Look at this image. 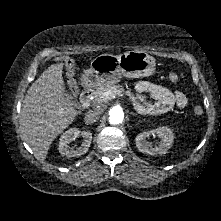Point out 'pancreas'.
<instances>
[{
    "label": "pancreas",
    "instance_id": "obj_1",
    "mask_svg": "<svg viewBox=\"0 0 221 221\" xmlns=\"http://www.w3.org/2000/svg\"><path fill=\"white\" fill-rule=\"evenodd\" d=\"M107 91H111L114 94L125 93L131 101L138 100L142 104H144L147 108L150 107V104L146 101L145 96H143V95H136L135 96L130 90H125L122 85L116 84V83H111V84H107V85L98 87L93 92L94 103H102L104 101H107L104 97V93Z\"/></svg>",
    "mask_w": 221,
    "mask_h": 221
}]
</instances>
